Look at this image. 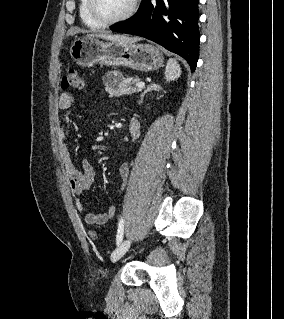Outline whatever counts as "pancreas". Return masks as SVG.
Here are the masks:
<instances>
[{
    "instance_id": "cf45deb5",
    "label": "pancreas",
    "mask_w": 284,
    "mask_h": 319,
    "mask_svg": "<svg viewBox=\"0 0 284 319\" xmlns=\"http://www.w3.org/2000/svg\"><path fill=\"white\" fill-rule=\"evenodd\" d=\"M103 81L106 91L114 96L130 95L141 91V88L131 87V84L139 82V78H134L132 81H129L128 78H125L117 71L108 72L103 77Z\"/></svg>"
}]
</instances>
